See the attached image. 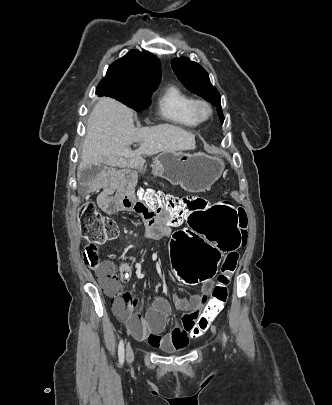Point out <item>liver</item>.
Instances as JSON below:
<instances>
[{
	"instance_id": "6515ba94",
	"label": "liver",
	"mask_w": 332,
	"mask_h": 405,
	"mask_svg": "<svg viewBox=\"0 0 332 405\" xmlns=\"http://www.w3.org/2000/svg\"><path fill=\"white\" fill-rule=\"evenodd\" d=\"M132 118L130 108L114 99L100 98L88 118L79 170L96 163L116 166L124 159L196 147L195 135L178 126L160 124L136 129ZM135 142L140 147L132 151L130 146Z\"/></svg>"
}]
</instances>
